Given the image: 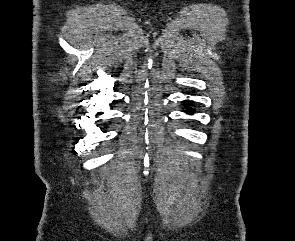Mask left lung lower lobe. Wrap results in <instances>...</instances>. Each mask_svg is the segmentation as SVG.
<instances>
[{
    "label": "left lung lower lobe",
    "instance_id": "1",
    "mask_svg": "<svg viewBox=\"0 0 295 241\" xmlns=\"http://www.w3.org/2000/svg\"><path fill=\"white\" fill-rule=\"evenodd\" d=\"M186 113L193 114L194 111L193 110H187Z\"/></svg>",
    "mask_w": 295,
    "mask_h": 241
}]
</instances>
